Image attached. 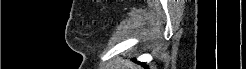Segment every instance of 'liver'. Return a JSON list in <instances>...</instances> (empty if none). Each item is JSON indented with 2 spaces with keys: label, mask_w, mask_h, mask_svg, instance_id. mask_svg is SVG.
I'll return each instance as SVG.
<instances>
[{
  "label": "liver",
  "mask_w": 246,
  "mask_h": 69,
  "mask_svg": "<svg viewBox=\"0 0 246 69\" xmlns=\"http://www.w3.org/2000/svg\"><path fill=\"white\" fill-rule=\"evenodd\" d=\"M124 67H131V69H135V66L130 63H126Z\"/></svg>",
  "instance_id": "6515ba94"
}]
</instances>
